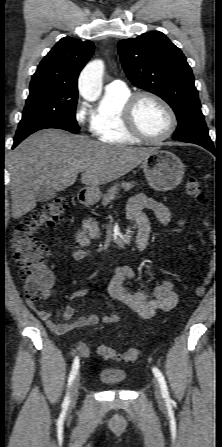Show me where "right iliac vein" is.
<instances>
[{"mask_svg": "<svg viewBox=\"0 0 222 447\" xmlns=\"http://www.w3.org/2000/svg\"><path fill=\"white\" fill-rule=\"evenodd\" d=\"M79 380H80V374L78 373L71 386L70 400H69L70 407H74L76 405L79 395Z\"/></svg>", "mask_w": 222, "mask_h": 447, "instance_id": "obj_1", "label": "right iliac vein"}]
</instances>
